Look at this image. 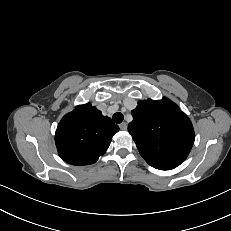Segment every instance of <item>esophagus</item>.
<instances>
[{
	"label": "esophagus",
	"mask_w": 231,
	"mask_h": 231,
	"mask_svg": "<svg viewBox=\"0 0 231 231\" xmlns=\"http://www.w3.org/2000/svg\"><path fill=\"white\" fill-rule=\"evenodd\" d=\"M119 127H120V129L123 130V131L127 130V124H126L125 122L121 123V124L119 125Z\"/></svg>",
	"instance_id": "esophagus-1"
}]
</instances>
